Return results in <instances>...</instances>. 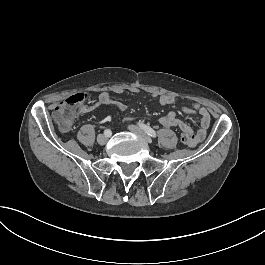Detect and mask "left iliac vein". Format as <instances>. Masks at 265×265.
I'll return each instance as SVG.
<instances>
[{
  "label": "left iliac vein",
  "mask_w": 265,
  "mask_h": 265,
  "mask_svg": "<svg viewBox=\"0 0 265 265\" xmlns=\"http://www.w3.org/2000/svg\"><path fill=\"white\" fill-rule=\"evenodd\" d=\"M128 129L132 131L133 133L137 134L138 136H140L144 140L145 143L147 144L152 143L151 138L141 128L134 126V125H129Z\"/></svg>",
  "instance_id": "4c4485c4"
}]
</instances>
